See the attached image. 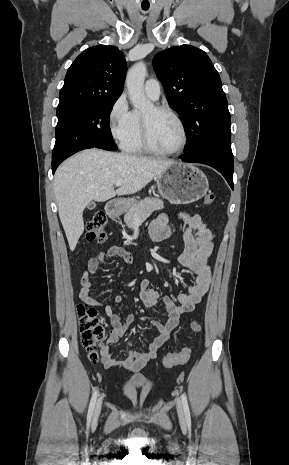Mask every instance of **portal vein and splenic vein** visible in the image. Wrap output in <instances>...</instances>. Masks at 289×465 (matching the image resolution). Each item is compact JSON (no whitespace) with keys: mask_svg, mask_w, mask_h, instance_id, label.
Here are the masks:
<instances>
[{"mask_svg":"<svg viewBox=\"0 0 289 465\" xmlns=\"http://www.w3.org/2000/svg\"><path fill=\"white\" fill-rule=\"evenodd\" d=\"M122 183H123L122 180H117V181L115 182V185H116L117 187H119Z\"/></svg>","mask_w":289,"mask_h":465,"instance_id":"portal-vein-and-splenic-vein-1","label":"portal vein and splenic vein"}]
</instances>
